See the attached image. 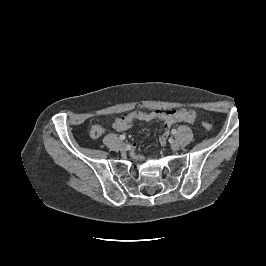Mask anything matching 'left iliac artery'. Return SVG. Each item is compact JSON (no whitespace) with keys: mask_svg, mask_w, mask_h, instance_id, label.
I'll return each instance as SVG.
<instances>
[{"mask_svg":"<svg viewBox=\"0 0 266 266\" xmlns=\"http://www.w3.org/2000/svg\"><path fill=\"white\" fill-rule=\"evenodd\" d=\"M171 133H172L173 135H175V134L177 133V131H176L175 129H172Z\"/></svg>","mask_w":266,"mask_h":266,"instance_id":"1","label":"left iliac artery"}]
</instances>
